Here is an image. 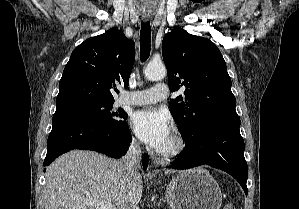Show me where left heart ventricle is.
Listing matches in <instances>:
<instances>
[{
	"label": "left heart ventricle",
	"instance_id": "b2bd125f",
	"mask_svg": "<svg viewBox=\"0 0 299 209\" xmlns=\"http://www.w3.org/2000/svg\"><path fill=\"white\" fill-rule=\"evenodd\" d=\"M172 146H173V139H172V135H170L166 143L159 150H167Z\"/></svg>",
	"mask_w": 299,
	"mask_h": 209
}]
</instances>
